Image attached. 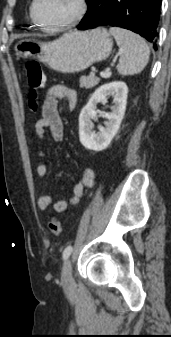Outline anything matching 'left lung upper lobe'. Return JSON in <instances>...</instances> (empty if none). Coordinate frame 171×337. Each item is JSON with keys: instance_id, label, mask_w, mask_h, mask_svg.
<instances>
[{"instance_id": "1", "label": "left lung upper lobe", "mask_w": 171, "mask_h": 337, "mask_svg": "<svg viewBox=\"0 0 171 337\" xmlns=\"http://www.w3.org/2000/svg\"><path fill=\"white\" fill-rule=\"evenodd\" d=\"M92 0H86L87 4L89 5Z\"/></svg>"}]
</instances>
